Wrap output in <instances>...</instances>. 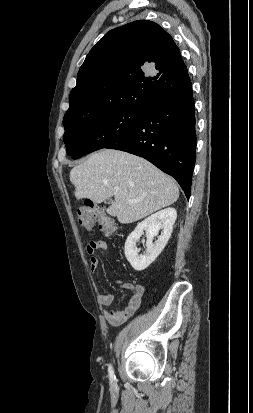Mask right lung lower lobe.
Masks as SVG:
<instances>
[{
    "label": "right lung lower lobe",
    "instance_id": "obj_1",
    "mask_svg": "<svg viewBox=\"0 0 253 413\" xmlns=\"http://www.w3.org/2000/svg\"><path fill=\"white\" fill-rule=\"evenodd\" d=\"M108 149L125 151L174 177L190 197L196 160V117L192 84L143 109L138 125Z\"/></svg>",
    "mask_w": 253,
    "mask_h": 413
}]
</instances>
